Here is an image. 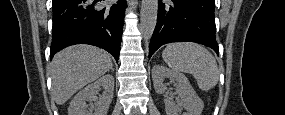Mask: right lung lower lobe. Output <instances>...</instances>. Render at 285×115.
Returning <instances> with one entry per match:
<instances>
[{"mask_svg":"<svg viewBox=\"0 0 285 115\" xmlns=\"http://www.w3.org/2000/svg\"><path fill=\"white\" fill-rule=\"evenodd\" d=\"M102 0H53L50 58L74 44L105 49L118 62L126 0L102 6Z\"/></svg>","mask_w":285,"mask_h":115,"instance_id":"right-lung-lower-lobe-1","label":"right lung lower lobe"}]
</instances>
